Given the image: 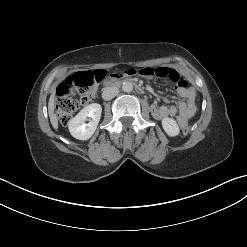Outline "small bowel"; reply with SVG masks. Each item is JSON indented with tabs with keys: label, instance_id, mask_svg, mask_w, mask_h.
Returning a JSON list of instances; mask_svg holds the SVG:
<instances>
[{
	"label": "small bowel",
	"instance_id": "c3829d8e",
	"mask_svg": "<svg viewBox=\"0 0 247 247\" xmlns=\"http://www.w3.org/2000/svg\"><path fill=\"white\" fill-rule=\"evenodd\" d=\"M122 75H139L144 78H168L175 84L176 93L181 96L184 101H179L172 105H152L151 113L154 118L161 120L168 117L176 116L177 123L180 127L185 126L188 120L196 112L195 90L188 86L186 79L175 69L169 67H144L140 69L130 68Z\"/></svg>",
	"mask_w": 247,
	"mask_h": 247
}]
</instances>
